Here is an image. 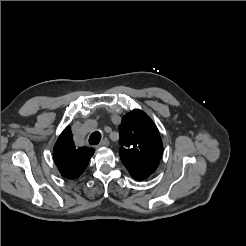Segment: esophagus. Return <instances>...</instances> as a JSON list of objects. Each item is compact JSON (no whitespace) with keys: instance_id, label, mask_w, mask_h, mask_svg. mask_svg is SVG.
<instances>
[{"instance_id":"obj_1","label":"esophagus","mask_w":246,"mask_h":246,"mask_svg":"<svg viewBox=\"0 0 246 246\" xmlns=\"http://www.w3.org/2000/svg\"><path fill=\"white\" fill-rule=\"evenodd\" d=\"M100 147H107L109 146V140L107 138H104L100 143L99 145Z\"/></svg>"}]
</instances>
